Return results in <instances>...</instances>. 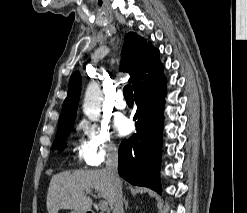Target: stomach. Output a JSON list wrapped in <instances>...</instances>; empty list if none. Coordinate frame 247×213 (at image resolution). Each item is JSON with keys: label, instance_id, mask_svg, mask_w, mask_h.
<instances>
[{"label": "stomach", "instance_id": "obj_1", "mask_svg": "<svg viewBox=\"0 0 247 213\" xmlns=\"http://www.w3.org/2000/svg\"><path fill=\"white\" fill-rule=\"evenodd\" d=\"M70 213H84V212L78 210H72Z\"/></svg>", "mask_w": 247, "mask_h": 213}]
</instances>
